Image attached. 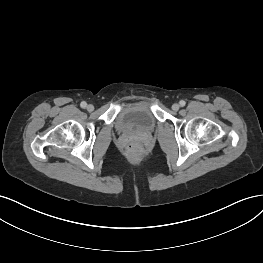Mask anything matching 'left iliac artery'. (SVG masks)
I'll return each mask as SVG.
<instances>
[{"mask_svg": "<svg viewBox=\"0 0 263 263\" xmlns=\"http://www.w3.org/2000/svg\"><path fill=\"white\" fill-rule=\"evenodd\" d=\"M179 104H180V106H185V104H186V102L184 101V100H181L180 102H179Z\"/></svg>", "mask_w": 263, "mask_h": 263, "instance_id": "left-iliac-artery-1", "label": "left iliac artery"}]
</instances>
